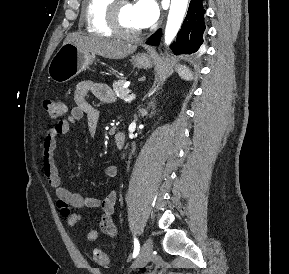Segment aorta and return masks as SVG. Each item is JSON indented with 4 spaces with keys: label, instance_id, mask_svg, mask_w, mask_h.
<instances>
[{
    "label": "aorta",
    "instance_id": "aorta-1",
    "mask_svg": "<svg viewBox=\"0 0 289 274\" xmlns=\"http://www.w3.org/2000/svg\"><path fill=\"white\" fill-rule=\"evenodd\" d=\"M188 0H171L165 28V43L169 45L178 33L187 9Z\"/></svg>",
    "mask_w": 289,
    "mask_h": 274
}]
</instances>
